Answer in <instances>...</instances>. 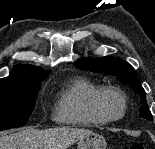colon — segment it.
Segmentation results:
<instances>
[{
  "mask_svg": "<svg viewBox=\"0 0 155 149\" xmlns=\"http://www.w3.org/2000/svg\"><path fill=\"white\" fill-rule=\"evenodd\" d=\"M128 149H146V147L142 143H132L129 145Z\"/></svg>",
  "mask_w": 155,
  "mask_h": 149,
  "instance_id": "1",
  "label": "colon"
}]
</instances>
